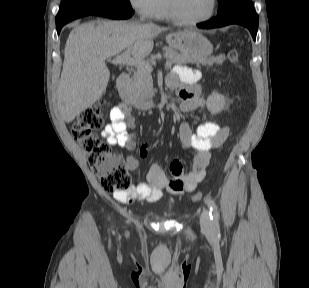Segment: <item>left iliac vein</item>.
Masks as SVG:
<instances>
[{
    "label": "left iliac vein",
    "instance_id": "obj_1",
    "mask_svg": "<svg viewBox=\"0 0 309 288\" xmlns=\"http://www.w3.org/2000/svg\"><path fill=\"white\" fill-rule=\"evenodd\" d=\"M201 228L205 233L210 234L212 230V222L207 209H204L200 217Z\"/></svg>",
    "mask_w": 309,
    "mask_h": 288
}]
</instances>
